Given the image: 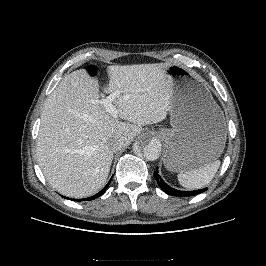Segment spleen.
Masks as SVG:
<instances>
[{"instance_id": "3e777b00", "label": "spleen", "mask_w": 266, "mask_h": 266, "mask_svg": "<svg viewBox=\"0 0 266 266\" xmlns=\"http://www.w3.org/2000/svg\"><path fill=\"white\" fill-rule=\"evenodd\" d=\"M219 166L220 161L216 160L199 169L181 172L178 174V181L187 189L202 188L212 181Z\"/></svg>"}]
</instances>
